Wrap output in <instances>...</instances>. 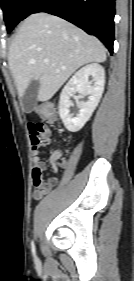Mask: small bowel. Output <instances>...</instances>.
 Instances as JSON below:
<instances>
[{"instance_id": "1", "label": "small bowel", "mask_w": 134, "mask_h": 281, "mask_svg": "<svg viewBox=\"0 0 134 281\" xmlns=\"http://www.w3.org/2000/svg\"><path fill=\"white\" fill-rule=\"evenodd\" d=\"M28 130L30 133L34 163L32 169V184L34 187L33 195L36 199H39L45 194L49 193L57 182L56 178H50L48 180L44 179V172L47 165L39 156L41 148L49 145L51 142V130L42 122H29ZM49 163L53 173L57 172L59 165L63 166L65 164L63 161H61V153L58 151H55L51 154Z\"/></svg>"}]
</instances>
